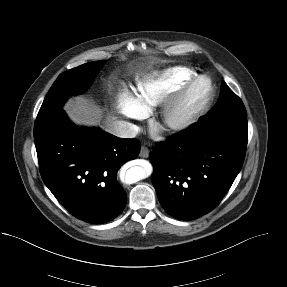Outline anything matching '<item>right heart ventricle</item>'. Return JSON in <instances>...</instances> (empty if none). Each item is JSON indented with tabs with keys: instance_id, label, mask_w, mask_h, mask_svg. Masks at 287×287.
<instances>
[{
	"instance_id": "1",
	"label": "right heart ventricle",
	"mask_w": 287,
	"mask_h": 287,
	"mask_svg": "<svg viewBox=\"0 0 287 287\" xmlns=\"http://www.w3.org/2000/svg\"><path fill=\"white\" fill-rule=\"evenodd\" d=\"M196 72L186 66H174L136 81L134 98L144 113L151 112Z\"/></svg>"
}]
</instances>
